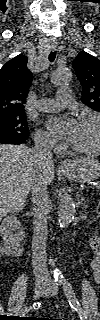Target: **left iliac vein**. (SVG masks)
Wrapping results in <instances>:
<instances>
[{
	"label": "left iliac vein",
	"mask_w": 100,
	"mask_h": 320,
	"mask_svg": "<svg viewBox=\"0 0 100 320\" xmlns=\"http://www.w3.org/2000/svg\"><path fill=\"white\" fill-rule=\"evenodd\" d=\"M46 293L50 296H56L58 294V286L53 282L48 283Z\"/></svg>",
	"instance_id": "left-iliac-vein-1"
}]
</instances>
